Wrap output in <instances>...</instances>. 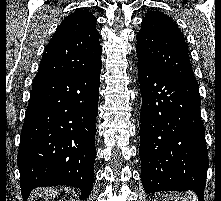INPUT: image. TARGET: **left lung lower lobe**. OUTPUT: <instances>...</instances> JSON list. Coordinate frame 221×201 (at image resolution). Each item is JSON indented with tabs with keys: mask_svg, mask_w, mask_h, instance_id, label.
<instances>
[{
	"mask_svg": "<svg viewBox=\"0 0 221 201\" xmlns=\"http://www.w3.org/2000/svg\"><path fill=\"white\" fill-rule=\"evenodd\" d=\"M141 179L146 193L193 190L203 201L209 166L197 84L138 63Z\"/></svg>",
	"mask_w": 221,
	"mask_h": 201,
	"instance_id": "left-lung-lower-lobe-1",
	"label": "left lung lower lobe"
}]
</instances>
